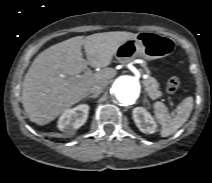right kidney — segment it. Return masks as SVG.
Here are the masks:
<instances>
[{
  "instance_id": "obj_1",
  "label": "right kidney",
  "mask_w": 212,
  "mask_h": 183,
  "mask_svg": "<svg viewBox=\"0 0 212 183\" xmlns=\"http://www.w3.org/2000/svg\"><path fill=\"white\" fill-rule=\"evenodd\" d=\"M89 113L87 104H80L63 112L58 120V128L65 134L73 135L86 122Z\"/></svg>"
}]
</instances>
